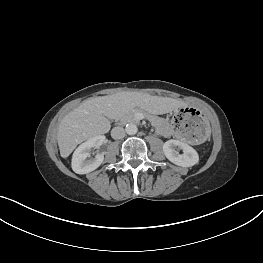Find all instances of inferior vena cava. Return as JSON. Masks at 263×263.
<instances>
[{"instance_id":"1","label":"inferior vena cava","mask_w":263,"mask_h":263,"mask_svg":"<svg viewBox=\"0 0 263 263\" xmlns=\"http://www.w3.org/2000/svg\"><path fill=\"white\" fill-rule=\"evenodd\" d=\"M111 136L113 139H122L124 138L125 136V130L123 127H114L112 130H111Z\"/></svg>"}]
</instances>
